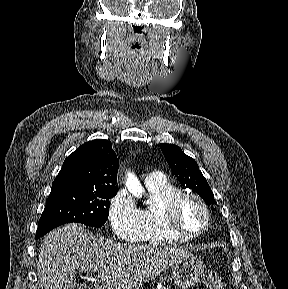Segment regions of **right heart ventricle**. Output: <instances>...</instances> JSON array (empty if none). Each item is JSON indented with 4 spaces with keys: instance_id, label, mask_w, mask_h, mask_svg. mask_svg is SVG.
I'll return each instance as SVG.
<instances>
[{
    "instance_id": "1",
    "label": "right heart ventricle",
    "mask_w": 288,
    "mask_h": 289,
    "mask_svg": "<svg viewBox=\"0 0 288 289\" xmlns=\"http://www.w3.org/2000/svg\"><path fill=\"white\" fill-rule=\"evenodd\" d=\"M149 203L141 210L143 230L140 240L153 245H173L184 243L183 239L169 231L163 221L165 202L181 193V189L165 180L161 184L146 185Z\"/></svg>"
}]
</instances>
